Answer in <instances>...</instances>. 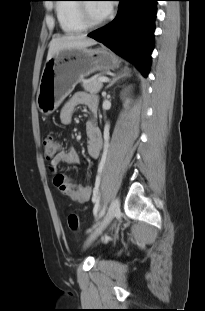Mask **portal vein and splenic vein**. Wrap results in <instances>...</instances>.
Wrapping results in <instances>:
<instances>
[{"mask_svg": "<svg viewBox=\"0 0 205 311\" xmlns=\"http://www.w3.org/2000/svg\"><path fill=\"white\" fill-rule=\"evenodd\" d=\"M99 81H100V82H107V81H109V79H108L107 77H104V76H103V77H100V78H99Z\"/></svg>", "mask_w": 205, "mask_h": 311, "instance_id": "18ae733b", "label": "portal vein and splenic vein"}]
</instances>
